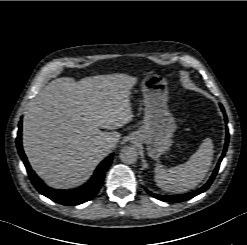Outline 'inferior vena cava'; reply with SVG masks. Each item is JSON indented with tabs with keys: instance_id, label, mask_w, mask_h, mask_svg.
<instances>
[{
	"instance_id": "obj_1",
	"label": "inferior vena cava",
	"mask_w": 247,
	"mask_h": 245,
	"mask_svg": "<svg viewBox=\"0 0 247 245\" xmlns=\"http://www.w3.org/2000/svg\"><path fill=\"white\" fill-rule=\"evenodd\" d=\"M101 148L103 151L111 152L115 148V143H113L111 141L104 142L101 145Z\"/></svg>"
}]
</instances>
